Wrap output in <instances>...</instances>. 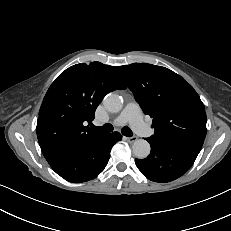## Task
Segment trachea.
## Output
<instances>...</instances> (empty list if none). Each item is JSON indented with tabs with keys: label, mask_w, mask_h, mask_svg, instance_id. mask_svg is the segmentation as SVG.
<instances>
[{
	"label": "trachea",
	"mask_w": 231,
	"mask_h": 231,
	"mask_svg": "<svg viewBox=\"0 0 231 231\" xmlns=\"http://www.w3.org/2000/svg\"><path fill=\"white\" fill-rule=\"evenodd\" d=\"M92 129L96 130V131H99V132L109 133V132L113 131V126L111 124H109V123H107V124H105V125H103L101 127L92 125ZM121 132L126 137H132L133 136V132L127 126L123 127L121 129Z\"/></svg>",
	"instance_id": "1"
}]
</instances>
